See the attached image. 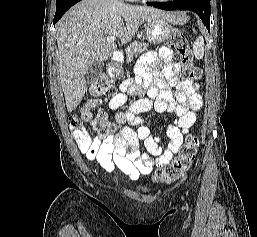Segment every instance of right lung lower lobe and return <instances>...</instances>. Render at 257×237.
<instances>
[{
	"mask_svg": "<svg viewBox=\"0 0 257 237\" xmlns=\"http://www.w3.org/2000/svg\"><path fill=\"white\" fill-rule=\"evenodd\" d=\"M79 1L81 0H66L56 5V13L54 16L53 24L55 25V23L63 16V14Z\"/></svg>",
	"mask_w": 257,
	"mask_h": 237,
	"instance_id": "obj_1",
	"label": "right lung lower lobe"
}]
</instances>
